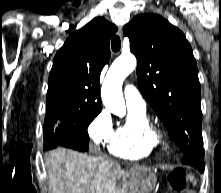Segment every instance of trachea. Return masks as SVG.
Returning a JSON list of instances; mask_svg holds the SVG:
<instances>
[{"label": "trachea", "instance_id": "1", "mask_svg": "<svg viewBox=\"0 0 221 193\" xmlns=\"http://www.w3.org/2000/svg\"><path fill=\"white\" fill-rule=\"evenodd\" d=\"M121 47V41L118 36H114L111 40V48L114 52H118Z\"/></svg>", "mask_w": 221, "mask_h": 193}]
</instances>
